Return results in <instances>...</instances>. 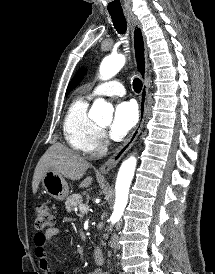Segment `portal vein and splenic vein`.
Instances as JSON below:
<instances>
[{
  "label": "portal vein and splenic vein",
  "mask_w": 215,
  "mask_h": 274,
  "mask_svg": "<svg viewBox=\"0 0 215 274\" xmlns=\"http://www.w3.org/2000/svg\"><path fill=\"white\" fill-rule=\"evenodd\" d=\"M79 210L81 211V213H87L88 212V207L85 204H81L79 206Z\"/></svg>",
  "instance_id": "obj_1"
}]
</instances>
